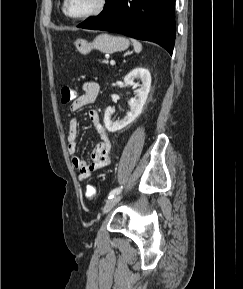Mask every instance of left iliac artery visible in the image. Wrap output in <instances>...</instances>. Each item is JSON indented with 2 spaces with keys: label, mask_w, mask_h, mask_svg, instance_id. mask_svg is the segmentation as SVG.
Listing matches in <instances>:
<instances>
[{
  "label": "left iliac artery",
  "mask_w": 243,
  "mask_h": 289,
  "mask_svg": "<svg viewBox=\"0 0 243 289\" xmlns=\"http://www.w3.org/2000/svg\"><path fill=\"white\" fill-rule=\"evenodd\" d=\"M122 188H123V187H118V188L113 189V190L109 193L108 199H111V198H113L115 195L119 194V193L121 192Z\"/></svg>",
  "instance_id": "1"
}]
</instances>
